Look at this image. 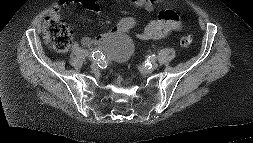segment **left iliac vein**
<instances>
[{"mask_svg": "<svg viewBox=\"0 0 253 143\" xmlns=\"http://www.w3.org/2000/svg\"><path fill=\"white\" fill-rule=\"evenodd\" d=\"M158 64L156 62H153L152 65L149 67V71H153L155 69H157Z\"/></svg>", "mask_w": 253, "mask_h": 143, "instance_id": "4c4485c4", "label": "left iliac vein"}]
</instances>
